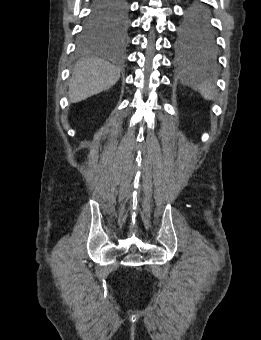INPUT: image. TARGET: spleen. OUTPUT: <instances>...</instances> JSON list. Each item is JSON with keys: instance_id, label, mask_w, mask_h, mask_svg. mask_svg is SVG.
<instances>
[{"instance_id": "spleen-1", "label": "spleen", "mask_w": 261, "mask_h": 340, "mask_svg": "<svg viewBox=\"0 0 261 340\" xmlns=\"http://www.w3.org/2000/svg\"><path fill=\"white\" fill-rule=\"evenodd\" d=\"M184 84L197 90L206 100H213L216 95L214 85L210 81L204 80L198 69H190L186 72Z\"/></svg>"}]
</instances>
